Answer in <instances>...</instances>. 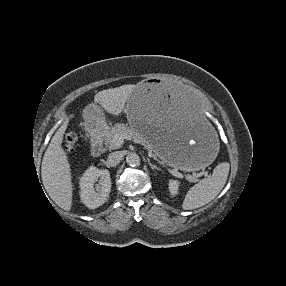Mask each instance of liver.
<instances>
[{"instance_id":"liver-1","label":"liver","mask_w":286,"mask_h":286,"mask_svg":"<svg viewBox=\"0 0 286 286\" xmlns=\"http://www.w3.org/2000/svg\"><path fill=\"white\" fill-rule=\"evenodd\" d=\"M135 87L128 84L100 91L95 96V103H98L107 113L118 116L124 110ZM67 125L68 121L61 125L45 151L41 165V178L49 197L60 208L69 211L73 200L72 175L67 153L62 147Z\"/></svg>"}]
</instances>
